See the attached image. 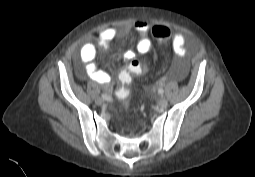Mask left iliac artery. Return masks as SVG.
Instances as JSON below:
<instances>
[{
    "instance_id": "left-iliac-artery-1",
    "label": "left iliac artery",
    "mask_w": 255,
    "mask_h": 177,
    "mask_svg": "<svg viewBox=\"0 0 255 177\" xmlns=\"http://www.w3.org/2000/svg\"><path fill=\"white\" fill-rule=\"evenodd\" d=\"M158 93H159V94H163V93H164V90H163L162 88H160V89L158 90Z\"/></svg>"
}]
</instances>
